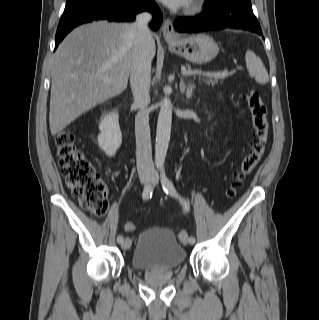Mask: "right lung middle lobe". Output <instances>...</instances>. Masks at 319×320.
<instances>
[{
    "label": "right lung middle lobe",
    "instance_id": "right-lung-middle-lobe-1",
    "mask_svg": "<svg viewBox=\"0 0 319 320\" xmlns=\"http://www.w3.org/2000/svg\"><path fill=\"white\" fill-rule=\"evenodd\" d=\"M89 0H67L65 10L73 9Z\"/></svg>",
    "mask_w": 319,
    "mask_h": 320
}]
</instances>
